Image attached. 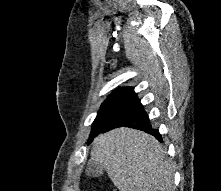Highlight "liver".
Listing matches in <instances>:
<instances>
[{"instance_id":"liver-1","label":"liver","mask_w":221,"mask_h":191,"mask_svg":"<svg viewBox=\"0 0 221 191\" xmlns=\"http://www.w3.org/2000/svg\"><path fill=\"white\" fill-rule=\"evenodd\" d=\"M166 154L153 136L122 127L93 141L91 160L120 191H172L174 170Z\"/></svg>"}]
</instances>
